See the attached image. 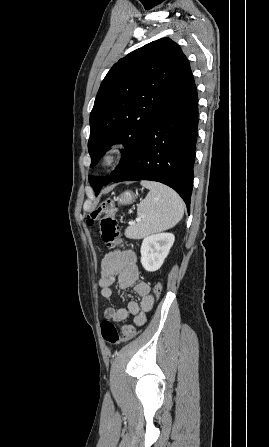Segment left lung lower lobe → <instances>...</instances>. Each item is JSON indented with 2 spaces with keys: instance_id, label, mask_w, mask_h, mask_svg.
<instances>
[{
  "instance_id": "obj_1",
  "label": "left lung lower lobe",
  "mask_w": 269,
  "mask_h": 447,
  "mask_svg": "<svg viewBox=\"0 0 269 447\" xmlns=\"http://www.w3.org/2000/svg\"><path fill=\"white\" fill-rule=\"evenodd\" d=\"M198 126V96L189 61L184 65L162 111L139 152L111 182L152 180L173 188L190 209ZM99 191L95 192L98 195Z\"/></svg>"
}]
</instances>
